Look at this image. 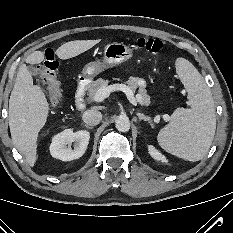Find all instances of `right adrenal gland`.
Instances as JSON below:
<instances>
[{"label": "right adrenal gland", "instance_id": "right-adrenal-gland-1", "mask_svg": "<svg viewBox=\"0 0 233 233\" xmlns=\"http://www.w3.org/2000/svg\"><path fill=\"white\" fill-rule=\"evenodd\" d=\"M84 126L87 128V129H92L93 127L89 126V125H86L84 124Z\"/></svg>", "mask_w": 233, "mask_h": 233}]
</instances>
